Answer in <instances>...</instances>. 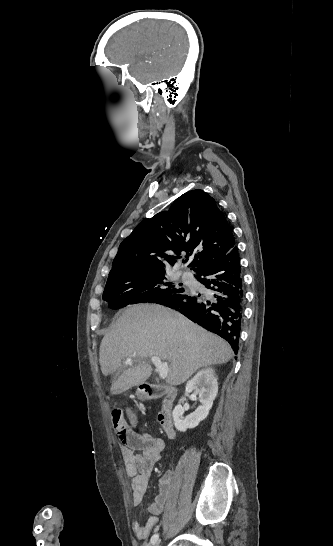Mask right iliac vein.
<instances>
[{
    "instance_id": "right-iliac-vein-1",
    "label": "right iliac vein",
    "mask_w": 333,
    "mask_h": 546,
    "mask_svg": "<svg viewBox=\"0 0 333 546\" xmlns=\"http://www.w3.org/2000/svg\"><path fill=\"white\" fill-rule=\"evenodd\" d=\"M154 546H160V541L156 542Z\"/></svg>"
}]
</instances>
